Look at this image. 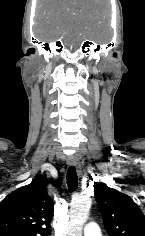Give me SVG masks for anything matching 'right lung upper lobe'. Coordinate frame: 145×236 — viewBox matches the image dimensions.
<instances>
[{"instance_id":"obj_1","label":"right lung upper lobe","mask_w":145,"mask_h":236,"mask_svg":"<svg viewBox=\"0 0 145 236\" xmlns=\"http://www.w3.org/2000/svg\"><path fill=\"white\" fill-rule=\"evenodd\" d=\"M59 187L40 176L10 193L0 204V236H48L53 214V201L47 193V184Z\"/></svg>"}]
</instances>
